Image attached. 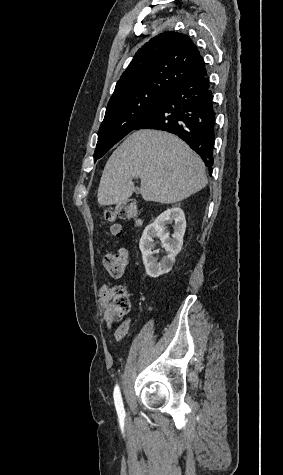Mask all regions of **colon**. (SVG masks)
Masks as SVG:
<instances>
[{
	"label": "colon",
	"mask_w": 283,
	"mask_h": 475,
	"mask_svg": "<svg viewBox=\"0 0 283 475\" xmlns=\"http://www.w3.org/2000/svg\"><path fill=\"white\" fill-rule=\"evenodd\" d=\"M101 216L103 221L110 224V233L113 236L122 234L121 226L117 223V220L140 222L137 203L133 199L106 208ZM127 259L128 253L124 248L106 252L102 256L103 266L112 278H120L124 275ZM104 304L113 307L114 317L112 319L114 322L124 326L127 324L132 311V304L125 286H118L113 297L104 299Z\"/></svg>",
	"instance_id": "5ec220e1"
}]
</instances>
